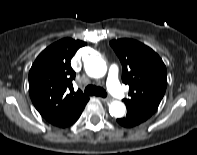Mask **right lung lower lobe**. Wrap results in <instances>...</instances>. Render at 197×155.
Instances as JSON below:
<instances>
[{
	"mask_svg": "<svg viewBox=\"0 0 197 155\" xmlns=\"http://www.w3.org/2000/svg\"><path fill=\"white\" fill-rule=\"evenodd\" d=\"M83 109H84V108H83ZM83 109L73 118V120L71 121V123H70L69 125L73 124V123L79 118V116L81 115ZM69 125H68V126H69Z\"/></svg>",
	"mask_w": 197,
	"mask_h": 155,
	"instance_id": "98d812e1",
	"label": "right lung lower lobe"
}]
</instances>
